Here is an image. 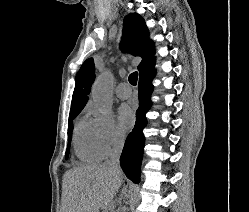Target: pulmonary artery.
Here are the masks:
<instances>
[{
  "instance_id": "1",
  "label": "pulmonary artery",
  "mask_w": 249,
  "mask_h": 212,
  "mask_svg": "<svg viewBox=\"0 0 249 212\" xmlns=\"http://www.w3.org/2000/svg\"><path fill=\"white\" fill-rule=\"evenodd\" d=\"M116 95L120 99H127L131 96V88L127 82H121L116 88Z\"/></svg>"
}]
</instances>
